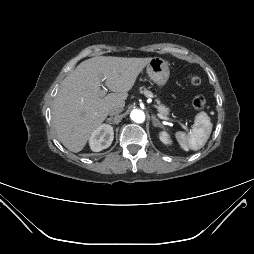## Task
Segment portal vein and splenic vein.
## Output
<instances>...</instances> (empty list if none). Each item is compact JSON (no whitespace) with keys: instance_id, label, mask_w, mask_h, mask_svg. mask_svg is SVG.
Returning a JSON list of instances; mask_svg holds the SVG:
<instances>
[{"instance_id":"portal-vein-and-splenic-vein-1","label":"portal vein and splenic vein","mask_w":254,"mask_h":254,"mask_svg":"<svg viewBox=\"0 0 254 254\" xmlns=\"http://www.w3.org/2000/svg\"><path fill=\"white\" fill-rule=\"evenodd\" d=\"M106 80V77H102L101 78V83H103L104 81ZM107 88L105 86H103V89L100 91V96L103 97L107 94ZM157 116L160 118V119H163V120H167V121H172V119H170L169 117L167 116H164L160 113H157ZM183 127H185L184 125H182ZM185 128H187V130H189V128L186 126Z\"/></svg>"}]
</instances>
